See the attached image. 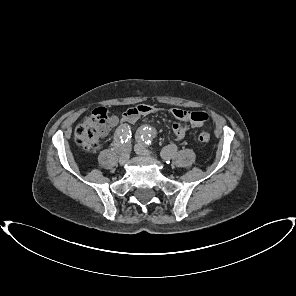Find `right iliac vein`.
<instances>
[{"instance_id": "1", "label": "right iliac vein", "mask_w": 296, "mask_h": 296, "mask_svg": "<svg viewBox=\"0 0 296 296\" xmlns=\"http://www.w3.org/2000/svg\"><path fill=\"white\" fill-rule=\"evenodd\" d=\"M129 158H130V154L128 152V149H125L119 158L120 165H125L129 161Z\"/></svg>"}]
</instances>
